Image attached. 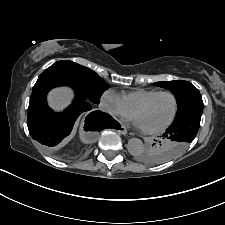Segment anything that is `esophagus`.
I'll return each instance as SVG.
<instances>
[{
  "mask_svg": "<svg viewBox=\"0 0 225 225\" xmlns=\"http://www.w3.org/2000/svg\"><path fill=\"white\" fill-rule=\"evenodd\" d=\"M116 131L118 133L122 134V135H126L127 134V129L123 125H119L118 129Z\"/></svg>",
  "mask_w": 225,
  "mask_h": 225,
  "instance_id": "1",
  "label": "esophagus"
}]
</instances>
